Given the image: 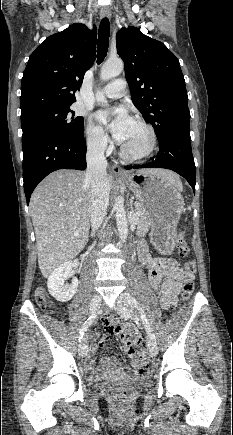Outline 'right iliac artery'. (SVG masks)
Masks as SVG:
<instances>
[{
    "label": "right iliac artery",
    "instance_id": "obj_1",
    "mask_svg": "<svg viewBox=\"0 0 233 435\" xmlns=\"http://www.w3.org/2000/svg\"><path fill=\"white\" fill-rule=\"evenodd\" d=\"M97 315H91L83 324L80 332H79V342L82 341L85 332L87 331V329L89 328V326L96 320Z\"/></svg>",
    "mask_w": 233,
    "mask_h": 435
}]
</instances>
